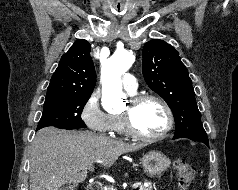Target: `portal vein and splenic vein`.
Returning a JSON list of instances; mask_svg holds the SVG:
<instances>
[{
    "label": "portal vein and splenic vein",
    "instance_id": "18ae733b",
    "mask_svg": "<svg viewBox=\"0 0 238 190\" xmlns=\"http://www.w3.org/2000/svg\"><path fill=\"white\" fill-rule=\"evenodd\" d=\"M91 170H93V168H90ZM140 186V184L139 183H134L133 185H132V189H136V188H138ZM114 190H117V189H114Z\"/></svg>",
    "mask_w": 238,
    "mask_h": 190
}]
</instances>
